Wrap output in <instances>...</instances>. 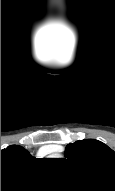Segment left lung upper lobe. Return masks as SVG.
Returning a JSON list of instances; mask_svg holds the SVG:
<instances>
[{
    "mask_svg": "<svg viewBox=\"0 0 115 191\" xmlns=\"http://www.w3.org/2000/svg\"><path fill=\"white\" fill-rule=\"evenodd\" d=\"M69 160L100 168L115 175V152L106 144L95 139L78 140L66 147Z\"/></svg>",
    "mask_w": 115,
    "mask_h": 191,
    "instance_id": "5c2ea615",
    "label": "left lung upper lobe"
}]
</instances>
